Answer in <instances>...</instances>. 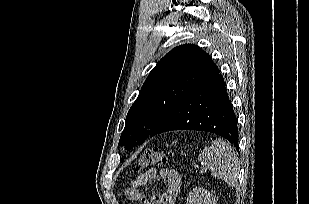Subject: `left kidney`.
I'll return each mask as SVG.
<instances>
[{"label": "left kidney", "instance_id": "left-kidney-1", "mask_svg": "<svg viewBox=\"0 0 309 204\" xmlns=\"http://www.w3.org/2000/svg\"><path fill=\"white\" fill-rule=\"evenodd\" d=\"M186 204H217V201L210 192L202 187H196L189 193Z\"/></svg>", "mask_w": 309, "mask_h": 204}]
</instances>
